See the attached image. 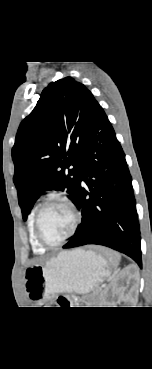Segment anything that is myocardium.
Here are the masks:
<instances>
[{
    "label": "myocardium",
    "instance_id": "obj_1",
    "mask_svg": "<svg viewBox=\"0 0 152 369\" xmlns=\"http://www.w3.org/2000/svg\"><path fill=\"white\" fill-rule=\"evenodd\" d=\"M54 201L64 203L70 209L72 216H73V224H72L71 230L66 236H64L62 239H60L57 242L49 243L42 236V233L40 230V218H41V214L43 210L45 209V207ZM80 222H81L80 211L78 210L75 203L68 196L64 194H60V193L51 194L44 199V201L39 205V207L37 208L35 212V216H34L35 237L37 241L39 242V244L42 245L44 248H55L65 243L68 239H70L76 233L80 225Z\"/></svg>",
    "mask_w": 152,
    "mask_h": 369
}]
</instances>
